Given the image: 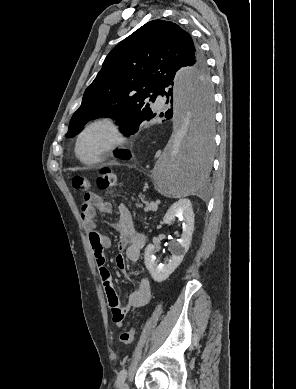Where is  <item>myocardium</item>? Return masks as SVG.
<instances>
[{"mask_svg": "<svg viewBox=\"0 0 296 389\" xmlns=\"http://www.w3.org/2000/svg\"><path fill=\"white\" fill-rule=\"evenodd\" d=\"M97 128H102L107 131L109 136L108 141L95 158L86 159L80 154L81 141L88 132ZM123 141L124 135L119 122L112 117H101L89 122L81 129L76 138L74 151L76 157L82 163L89 165L97 164L107 158L118 146L122 144Z\"/></svg>", "mask_w": 296, "mask_h": 389, "instance_id": "f54148a6", "label": "myocardium"}]
</instances>
